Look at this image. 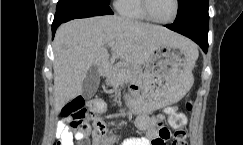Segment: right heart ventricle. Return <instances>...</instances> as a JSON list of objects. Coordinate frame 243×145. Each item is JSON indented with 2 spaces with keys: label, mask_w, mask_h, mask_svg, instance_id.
<instances>
[{
  "label": "right heart ventricle",
  "mask_w": 243,
  "mask_h": 145,
  "mask_svg": "<svg viewBox=\"0 0 243 145\" xmlns=\"http://www.w3.org/2000/svg\"><path fill=\"white\" fill-rule=\"evenodd\" d=\"M116 8L119 14L125 18L137 21L148 20L141 8L140 0H118Z\"/></svg>",
  "instance_id": "e07e8e85"
}]
</instances>
